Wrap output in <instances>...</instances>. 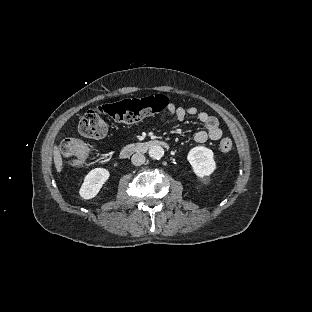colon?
I'll list each match as a JSON object with an SVG mask.
<instances>
[{"mask_svg":"<svg viewBox=\"0 0 312 312\" xmlns=\"http://www.w3.org/2000/svg\"><path fill=\"white\" fill-rule=\"evenodd\" d=\"M168 104L169 100L166 96L154 95L94 108L81 116L77 131L85 138L101 139L108 134V120L122 125L133 124L157 115ZM232 148L233 141L230 138L223 139L219 144V150L223 153L231 151ZM61 151L70 158L73 164L83 166L89 156L90 148L84 141L69 137L63 141Z\"/></svg>","mask_w":312,"mask_h":312,"instance_id":"1","label":"colon"}]
</instances>
